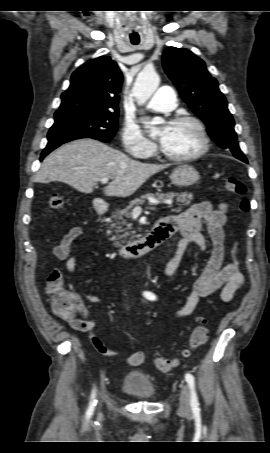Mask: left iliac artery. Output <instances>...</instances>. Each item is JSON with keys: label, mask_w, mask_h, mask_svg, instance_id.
I'll use <instances>...</instances> for the list:
<instances>
[{"label": "left iliac artery", "mask_w": 270, "mask_h": 453, "mask_svg": "<svg viewBox=\"0 0 270 453\" xmlns=\"http://www.w3.org/2000/svg\"><path fill=\"white\" fill-rule=\"evenodd\" d=\"M144 296L149 300H155L156 296L151 292H144ZM185 380L189 385L191 391V406L194 411H199V402L195 391V379L190 373H186Z\"/></svg>", "instance_id": "obj_1"}]
</instances>
